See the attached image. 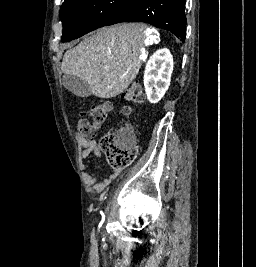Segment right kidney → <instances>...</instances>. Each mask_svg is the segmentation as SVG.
<instances>
[{
	"label": "right kidney",
	"instance_id": "obj_1",
	"mask_svg": "<svg viewBox=\"0 0 256 267\" xmlns=\"http://www.w3.org/2000/svg\"><path fill=\"white\" fill-rule=\"evenodd\" d=\"M173 72V58L167 50H157L148 60L144 74V86L150 104H158L166 94Z\"/></svg>",
	"mask_w": 256,
	"mask_h": 267
}]
</instances>
